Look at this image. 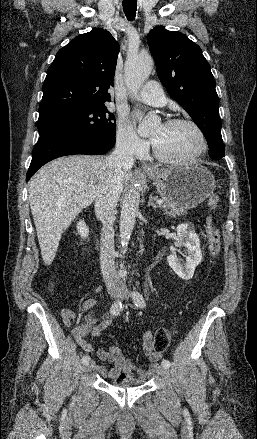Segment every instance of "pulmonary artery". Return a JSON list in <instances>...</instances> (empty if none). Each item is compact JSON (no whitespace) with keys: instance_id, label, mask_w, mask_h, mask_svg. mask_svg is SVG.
I'll list each match as a JSON object with an SVG mask.
<instances>
[{"instance_id":"1","label":"pulmonary artery","mask_w":257,"mask_h":439,"mask_svg":"<svg viewBox=\"0 0 257 439\" xmlns=\"http://www.w3.org/2000/svg\"><path fill=\"white\" fill-rule=\"evenodd\" d=\"M137 98L156 107H162L166 104L164 92L156 81L147 82L138 93Z\"/></svg>"}]
</instances>
